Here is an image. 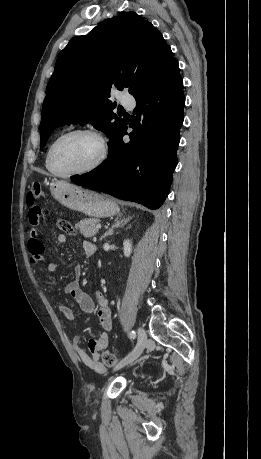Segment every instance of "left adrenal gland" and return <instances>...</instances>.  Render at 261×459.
<instances>
[{"label": "left adrenal gland", "mask_w": 261, "mask_h": 459, "mask_svg": "<svg viewBox=\"0 0 261 459\" xmlns=\"http://www.w3.org/2000/svg\"><path fill=\"white\" fill-rule=\"evenodd\" d=\"M130 219H132V217L122 218V214L117 216L114 219L113 225L111 226V228L107 232H105V234L101 237V240L106 238L107 236L113 235L114 229H117V228H120V227L124 226L127 222L130 221Z\"/></svg>", "instance_id": "1"}]
</instances>
